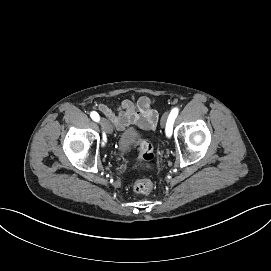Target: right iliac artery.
<instances>
[{"label": "right iliac artery", "instance_id": "1", "mask_svg": "<svg viewBox=\"0 0 271 271\" xmlns=\"http://www.w3.org/2000/svg\"><path fill=\"white\" fill-rule=\"evenodd\" d=\"M90 116L96 122H98L100 119L99 114L95 111L91 112ZM106 144H107V142H106ZM106 148H107V145H106Z\"/></svg>", "mask_w": 271, "mask_h": 271}]
</instances>
